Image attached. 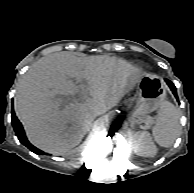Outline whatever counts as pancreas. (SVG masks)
Wrapping results in <instances>:
<instances>
[{
	"instance_id": "pancreas-1",
	"label": "pancreas",
	"mask_w": 194,
	"mask_h": 193,
	"mask_svg": "<svg viewBox=\"0 0 194 193\" xmlns=\"http://www.w3.org/2000/svg\"><path fill=\"white\" fill-rule=\"evenodd\" d=\"M139 121H144L145 123L153 124L155 120L150 116H138Z\"/></svg>"
}]
</instances>
